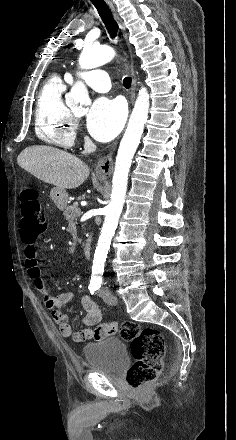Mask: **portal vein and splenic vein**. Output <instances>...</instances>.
<instances>
[{
  "mask_svg": "<svg viewBox=\"0 0 236 440\" xmlns=\"http://www.w3.org/2000/svg\"><path fill=\"white\" fill-rule=\"evenodd\" d=\"M76 213H77L78 215H80L81 210H80V209H77V210H76Z\"/></svg>",
  "mask_w": 236,
  "mask_h": 440,
  "instance_id": "obj_1",
  "label": "portal vein and splenic vein"
}]
</instances>
